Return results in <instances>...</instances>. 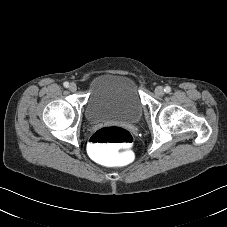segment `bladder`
Returning a JSON list of instances; mask_svg holds the SVG:
<instances>
[{"label":"bladder","instance_id":"bladder-1","mask_svg":"<svg viewBox=\"0 0 227 227\" xmlns=\"http://www.w3.org/2000/svg\"><path fill=\"white\" fill-rule=\"evenodd\" d=\"M143 114L136 79L126 73H104L93 82L85 104L90 123H136Z\"/></svg>","mask_w":227,"mask_h":227}]
</instances>
